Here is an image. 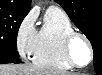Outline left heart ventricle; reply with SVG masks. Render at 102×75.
Here are the masks:
<instances>
[{
    "instance_id": "b2bd125f",
    "label": "left heart ventricle",
    "mask_w": 102,
    "mask_h": 75,
    "mask_svg": "<svg viewBox=\"0 0 102 75\" xmlns=\"http://www.w3.org/2000/svg\"><path fill=\"white\" fill-rule=\"evenodd\" d=\"M72 53L77 63L85 64L88 60V48L83 39L77 38L72 46Z\"/></svg>"
}]
</instances>
